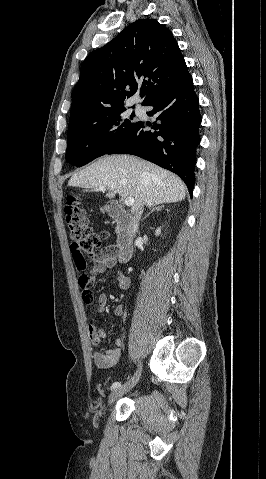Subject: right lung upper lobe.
<instances>
[{"instance_id":"obj_1","label":"right lung upper lobe","mask_w":266,"mask_h":479,"mask_svg":"<svg viewBox=\"0 0 266 479\" xmlns=\"http://www.w3.org/2000/svg\"><path fill=\"white\" fill-rule=\"evenodd\" d=\"M187 74L172 32L155 19H139L84 60L69 121L122 108L139 86L144 104Z\"/></svg>"}]
</instances>
